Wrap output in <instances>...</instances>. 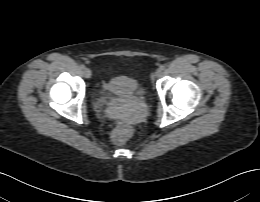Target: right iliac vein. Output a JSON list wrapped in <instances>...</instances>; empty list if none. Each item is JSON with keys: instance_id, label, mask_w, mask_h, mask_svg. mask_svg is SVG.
<instances>
[{"instance_id": "63e3f726", "label": "right iliac vein", "mask_w": 260, "mask_h": 202, "mask_svg": "<svg viewBox=\"0 0 260 202\" xmlns=\"http://www.w3.org/2000/svg\"><path fill=\"white\" fill-rule=\"evenodd\" d=\"M83 72H84V76L86 78H90L91 75H92V72H91V70L89 68H85Z\"/></svg>"}]
</instances>
